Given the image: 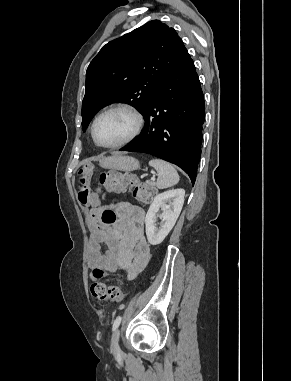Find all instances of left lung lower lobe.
I'll list each match as a JSON object with an SVG mask.
<instances>
[{"label": "left lung lower lobe", "instance_id": "1", "mask_svg": "<svg viewBox=\"0 0 291 381\" xmlns=\"http://www.w3.org/2000/svg\"><path fill=\"white\" fill-rule=\"evenodd\" d=\"M142 114V133L121 150L148 153L174 163L194 184L201 156L205 103L188 52L150 97Z\"/></svg>", "mask_w": 291, "mask_h": 381}]
</instances>
